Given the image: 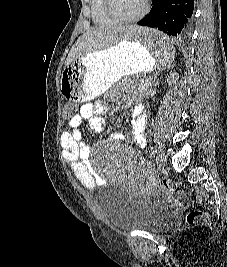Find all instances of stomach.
<instances>
[{"label":"stomach","instance_id":"1","mask_svg":"<svg viewBox=\"0 0 227 267\" xmlns=\"http://www.w3.org/2000/svg\"><path fill=\"white\" fill-rule=\"evenodd\" d=\"M161 64L154 63L148 47L122 40L67 64L59 82L61 96L67 104H82L98 97L122 78L151 72Z\"/></svg>","mask_w":227,"mask_h":267}]
</instances>
